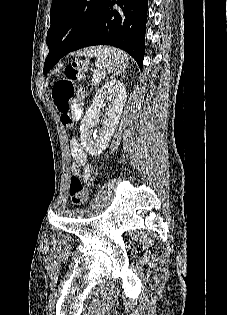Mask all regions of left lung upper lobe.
Masks as SVG:
<instances>
[{"instance_id":"left-lung-upper-lobe-1","label":"left lung upper lobe","mask_w":227,"mask_h":315,"mask_svg":"<svg viewBox=\"0 0 227 315\" xmlns=\"http://www.w3.org/2000/svg\"><path fill=\"white\" fill-rule=\"evenodd\" d=\"M107 0H53L47 41L54 37L74 45L88 31ZM43 73L46 74L43 70Z\"/></svg>"}]
</instances>
